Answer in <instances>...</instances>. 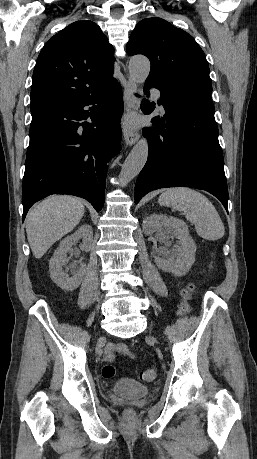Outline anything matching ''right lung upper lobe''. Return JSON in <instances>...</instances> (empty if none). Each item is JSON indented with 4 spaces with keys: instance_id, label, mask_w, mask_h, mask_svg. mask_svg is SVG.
<instances>
[{
    "instance_id": "right-lung-upper-lobe-1",
    "label": "right lung upper lobe",
    "mask_w": 257,
    "mask_h": 459,
    "mask_svg": "<svg viewBox=\"0 0 257 459\" xmlns=\"http://www.w3.org/2000/svg\"><path fill=\"white\" fill-rule=\"evenodd\" d=\"M113 47L92 21H77L41 50L33 72L31 112L96 95L113 78Z\"/></svg>"
}]
</instances>
